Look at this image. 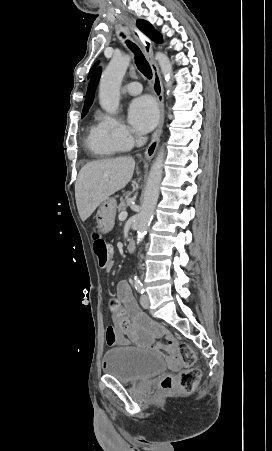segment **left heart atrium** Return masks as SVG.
Segmentation results:
<instances>
[{
    "mask_svg": "<svg viewBox=\"0 0 272 451\" xmlns=\"http://www.w3.org/2000/svg\"><path fill=\"white\" fill-rule=\"evenodd\" d=\"M157 118V109L153 99L142 97L130 106L129 121L132 128L140 133L150 130Z\"/></svg>",
    "mask_w": 272,
    "mask_h": 451,
    "instance_id": "1",
    "label": "left heart atrium"
}]
</instances>
